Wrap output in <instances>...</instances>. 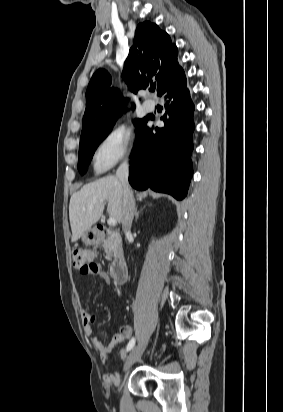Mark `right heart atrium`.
<instances>
[{
	"label": "right heart atrium",
	"mask_w": 283,
	"mask_h": 412,
	"mask_svg": "<svg viewBox=\"0 0 283 412\" xmlns=\"http://www.w3.org/2000/svg\"><path fill=\"white\" fill-rule=\"evenodd\" d=\"M134 149V136L130 127L119 125L105 134L95 153L98 170L104 171L113 167L123 158L129 156Z\"/></svg>",
	"instance_id": "d8ad5b80"
}]
</instances>
